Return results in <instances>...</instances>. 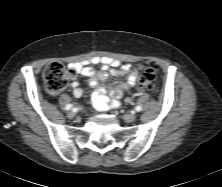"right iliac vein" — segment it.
<instances>
[{
	"instance_id": "right-iliac-vein-1",
	"label": "right iliac vein",
	"mask_w": 222,
	"mask_h": 187,
	"mask_svg": "<svg viewBox=\"0 0 222 187\" xmlns=\"http://www.w3.org/2000/svg\"><path fill=\"white\" fill-rule=\"evenodd\" d=\"M76 116V113L74 112V111H69L68 113H67V117L69 118V119H72V118H74Z\"/></svg>"
}]
</instances>
